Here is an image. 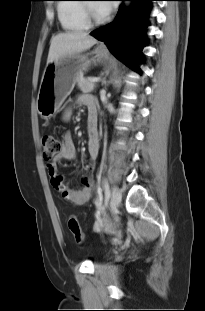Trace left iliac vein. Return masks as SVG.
Listing matches in <instances>:
<instances>
[{
    "mask_svg": "<svg viewBox=\"0 0 205 311\" xmlns=\"http://www.w3.org/2000/svg\"><path fill=\"white\" fill-rule=\"evenodd\" d=\"M122 200V192L118 188H114L112 191L111 201H110V210L112 214H116L118 212V208L120 206Z\"/></svg>",
    "mask_w": 205,
    "mask_h": 311,
    "instance_id": "obj_1",
    "label": "left iliac vein"
}]
</instances>
